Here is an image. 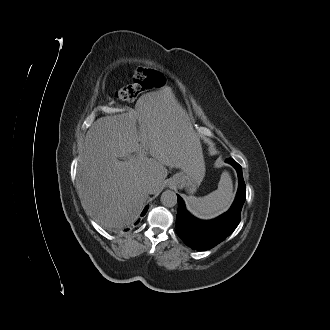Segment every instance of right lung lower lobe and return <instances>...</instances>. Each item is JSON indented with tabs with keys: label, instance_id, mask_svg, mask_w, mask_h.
Instances as JSON below:
<instances>
[{
	"label": "right lung lower lobe",
	"instance_id": "obj_1",
	"mask_svg": "<svg viewBox=\"0 0 330 330\" xmlns=\"http://www.w3.org/2000/svg\"><path fill=\"white\" fill-rule=\"evenodd\" d=\"M147 210H148V206L143 210L141 216H144L146 214Z\"/></svg>",
	"mask_w": 330,
	"mask_h": 330
}]
</instances>
